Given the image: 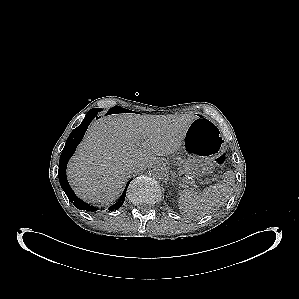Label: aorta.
<instances>
[{
  "instance_id": "obj_1",
  "label": "aorta",
  "mask_w": 299,
  "mask_h": 299,
  "mask_svg": "<svg viewBox=\"0 0 299 299\" xmlns=\"http://www.w3.org/2000/svg\"><path fill=\"white\" fill-rule=\"evenodd\" d=\"M149 175L155 179H164L167 176V168L164 163L154 162L148 168Z\"/></svg>"
}]
</instances>
